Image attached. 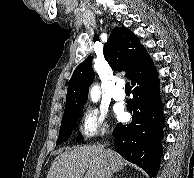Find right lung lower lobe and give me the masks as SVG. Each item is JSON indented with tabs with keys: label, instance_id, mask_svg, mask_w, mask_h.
I'll use <instances>...</instances> for the list:
<instances>
[{
	"label": "right lung lower lobe",
	"instance_id": "right-lung-lower-lobe-1",
	"mask_svg": "<svg viewBox=\"0 0 194 178\" xmlns=\"http://www.w3.org/2000/svg\"><path fill=\"white\" fill-rule=\"evenodd\" d=\"M132 87L133 99L127 103V109L133 116L132 122L128 125L119 123L115 127V150L154 177L163 155L161 139L165 121L157 73Z\"/></svg>",
	"mask_w": 194,
	"mask_h": 178
}]
</instances>
